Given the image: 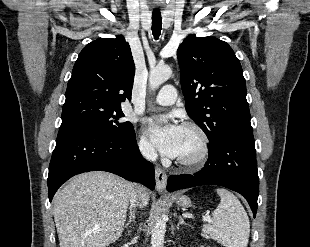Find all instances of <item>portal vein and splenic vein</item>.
Returning <instances> with one entry per match:
<instances>
[{"label":"portal vein and splenic vein","instance_id":"portal-vein-and-splenic-vein-1","mask_svg":"<svg viewBox=\"0 0 310 247\" xmlns=\"http://www.w3.org/2000/svg\"><path fill=\"white\" fill-rule=\"evenodd\" d=\"M204 220L211 221L210 217H205Z\"/></svg>","mask_w":310,"mask_h":247}]
</instances>
